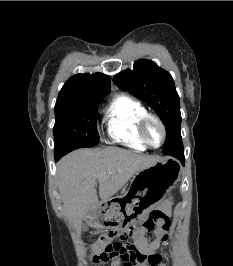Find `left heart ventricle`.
Listing matches in <instances>:
<instances>
[{
    "instance_id": "b2bd125f",
    "label": "left heart ventricle",
    "mask_w": 233,
    "mask_h": 266,
    "mask_svg": "<svg viewBox=\"0 0 233 266\" xmlns=\"http://www.w3.org/2000/svg\"><path fill=\"white\" fill-rule=\"evenodd\" d=\"M146 135L151 144L157 146L162 140V130L155 121H150L146 128Z\"/></svg>"
}]
</instances>
